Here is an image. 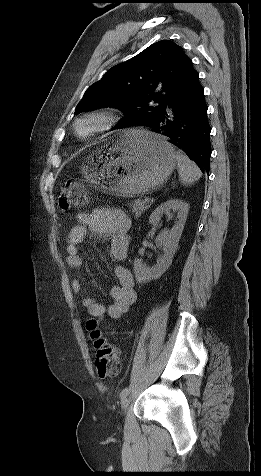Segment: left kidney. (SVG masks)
<instances>
[{"instance_id": "left-kidney-1", "label": "left kidney", "mask_w": 261, "mask_h": 476, "mask_svg": "<svg viewBox=\"0 0 261 476\" xmlns=\"http://www.w3.org/2000/svg\"><path fill=\"white\" fill-rule=\"evenodd\" d=\"M171 210L177 212V221L170 231L164 230L156 237V245L161 248L163 255L157 258L156 264L148 267L141 259L134 260V274L138 283L158 279L172 264L173 256L177 250L178 242L181 237L184 225L187 219L189 204L183 200L171 199L158 206L150 215L149 223L156 225L163 213H169Z\"/></svg>"}]
</instances>
